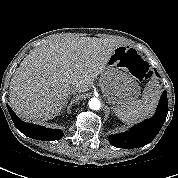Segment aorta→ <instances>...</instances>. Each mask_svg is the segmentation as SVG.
I'll list each match as a JSON object with an SVG mask.
<instances>
[{
    "label": "aorta",
    "instance_id": "762f6f07",
    "mask_svg": "<svg viewBox=\"0 0 178 178\" xmlns=\"http://www.w3.org/2000/svg\"><path fill=\"white\" fill-rule=\"evenodd\" d=\"M89 107L93 110H99L101 107V103L97 98H92L89 101Z\"/></svg>",
    "mask_w": 178,
    "mask_h": 178
}]
</instances>
